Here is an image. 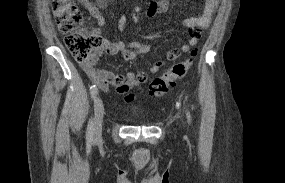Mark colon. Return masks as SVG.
<instances>
[{
	"mask_svg": "<svg viewBox=\"0 0 285 183\" xmlns=\"http://www.w3.org/2000/svg\"><path fill=\"white\" fill-rule=\"evenodd\" d=\"M51 8L57 28L66 33L65 45L78 61H88L101 46L102 38L94 29L84 26L85 17L74 0H51ZM196 50L190 57L174 64L166 73L156 77L150 85V93L161 97L166 95L178 80L183 79L190 71Z\"/></svg>",
	"mask_w": 285,
	"mask_h": 183,
	"instance_id": "colon-1",
	"label": "colon"
}]
</instances>
